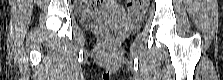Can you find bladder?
Returning <instances> with one entry per match:
<instances>
[{"label":"bladder","mask_w":223,"mask_h":80,"mask_svg":"<svg viewBox=\"0 0 223 80\" xmlns=\"http://www.w3.org/2000/svg\"><path fill=\"white\" fill-rule=\"evenodd\" d=\"M95 16H121L115 8H108L105 9L103 13L92 15L91 18H94ZM86 20H89V18H86Z\"/></svg>","instance_id":"31cf9c89"}]
</instances>
